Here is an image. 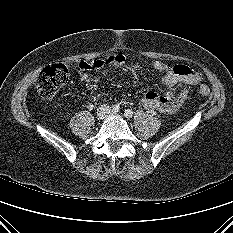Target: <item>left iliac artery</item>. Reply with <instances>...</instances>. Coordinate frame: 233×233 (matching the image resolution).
<instances>
[{"instance_id":"obj_1","label":"left iliac artery","mask_w":233,"mask_h":233,"mask_svg":"<svg viewBox=\"0 0 233 233\" xmlns=\"http://www.w3.org/2000/svg\"><path fill=\"white\" fill-rule=\"evenodd\" d=\"M125 117L131 118L133 116V111L131 109H127L124 112Z\"/></svg>"}]
</instances>
